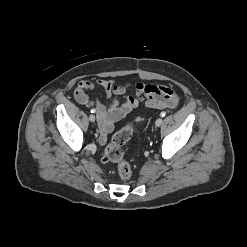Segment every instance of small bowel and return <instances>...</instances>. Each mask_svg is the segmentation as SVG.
<instances>
[{
    "label": "small bowel",
    "instance_id": "small-bowel-1",
    "mask_svg": "<svg viewBox=\"0 0 247 247\" xmlns=\"http://www.w3.org/2000/svg\"><path fill=\"white\" fill-rule=\"evenodd\" d=\"M96 86L103 88L105 97L111 99L107 105L91 99L87 91ZM133 89V95H127ZM75 100L87 107H93L97 112L99 123V140L105 144L114 124L124 118L140 103L153 109H172L178 104L177 93L169 86L136 82L134 84L118 85L114 80L80 81L74 91ZM121 99L123 102L121 103Z\"/></svg>",
    "mask_w": 247,
    "mask_h": 247
}]
</instances>
